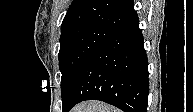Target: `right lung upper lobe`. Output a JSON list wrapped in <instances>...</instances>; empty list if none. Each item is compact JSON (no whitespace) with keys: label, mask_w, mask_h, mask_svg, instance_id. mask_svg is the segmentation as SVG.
<instances>
[{"label":"right lung upper lobe","mask_w":193,"mask_h":112,"mask_svg":"<svg viewBox=\"0 0 193 112\" xmlns=\"http://www.w3.org/2000/svg\"><path fill=\"white\" fill-rule=\"evenodd\" d=\"M137 17L133 0H73L63 19L61 32L83 26L116 32Z\"/></svg>","instance_id":"cb5924a9"}]
</instances>
